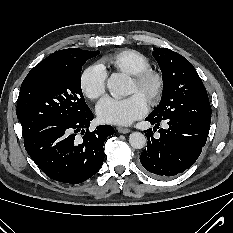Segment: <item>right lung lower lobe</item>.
<instances>
[{"mask_svg":"<svg viewBox=\"0 0 233 233\" xmlns=\"http://www.w3.org/2000/svg\"><path fill=\"white\" fill-rule=\"evenodd\" d=\"M92 111L68 124L42 129L24 140L33 161L51 179L70 184L81 183L92 177L104 161L103 145L114 134L109 125L89 131ZM81 134L82 138L77 135Z\"/></svg>","mask_w":233,"mask_h":233,"instance_id":"right-lung-lower-lobe-1","label":"right lung lower lobe"}]
</instances>
